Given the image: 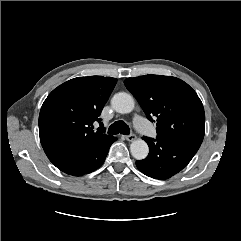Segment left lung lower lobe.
<instances>
[{"mask_svg": "<svg viewBox=\"0 0 241 241\" xmlns=\"http://www.w3.org/2000/svg\"><path fill=\"white\" fill-rule=\"evenodd\" d=\"M149 146L147 158L136 161L138 169L145 175L165 180L180 172L191 161L201 143L177 141L158 137H145Z\"/></svg>", "mask_w": 241, "mask_h": 241, "instance_id": "0a47b994", "label": "left lung lower lobe"}]
</instances>
